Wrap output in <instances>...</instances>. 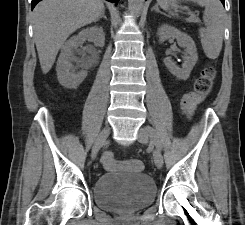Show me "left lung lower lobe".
Listing matches in <instances>:
<instances>
[{
  "label": "left lung lower lobe",
  "instance_id": "0a47b994",
  "mask_svg": "<svg viewBox=\"0 0 245 225\" xmlns=\"http://www.w3.org/2000/svg\"><path fill=\"white\" fill-rule=\"evenodd\" d=\"M222 2V4L225 6V0H220Z\"/></svg>",
  "mask_w": 245,
  "mask_h": 225
}]
</instances>
